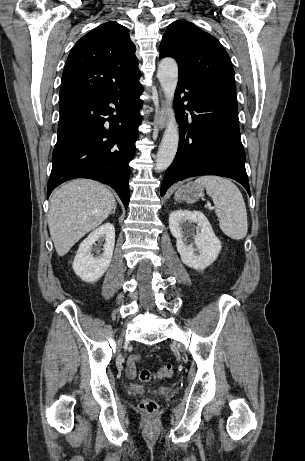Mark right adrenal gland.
<instances>
[{
  "label": "right adrenal gland",
  "mask_w": 305,
  "mask_h": 461,
  "mask_svg": "<svg viewBox=\"0 0 305 461\" xmlns=\"http://www.w3.org/2000/svg\"><path fill=\"white\" fill-rule=\"evenodd\" d=\"M115 211H116V207L113 209L111 214H115Z\"/></svg>",
  "instance_id": "1"
}]
</instances>
